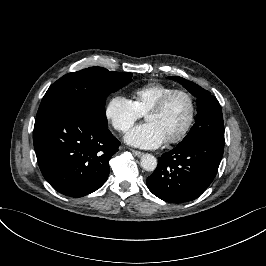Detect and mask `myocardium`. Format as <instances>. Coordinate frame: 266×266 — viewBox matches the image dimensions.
Listing matches in <instances>:
<instances>
[{
    "label": "myocardium",
    "mask_w": 266,
    "mask_h": 266,
    "mask_svg": "<svg viewBox=\"0 0 266 266\" xmlns=\"http://www.w3.org/2000/svg\"><path fill=\"white\" fill-rule=\"evenodd\" d=\"M179 94L184 95L188 99L190 103V116L188 118L187 123L184 125V127L181 129V131L176 137L166 139V142L168 144H177L181 142L186 137L190 129L192 128L195 122L196 113H197V105H196V101H195L193 94L190 91L183 89V88H174L170 90L169 92L165 93L163 96H161L160 99L156 103H154L152 106H150L149 109L145 113V116H146L148 113H151V112L163 111L168 105L169 101L174 96L179 95Z\"/></svg>",
    "instance_id": "myocardium-1"
}]
</instances>
